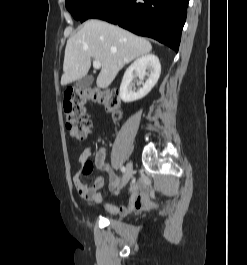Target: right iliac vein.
I'll use <instances>...</instances> for the list:
<instances>
[{"instance_id": "obj_1", "label": "right iliac vein", "mask_w": 247, "mask_h": 265, "mask_svg": "<svg viewBox=\"0 0 247 265\" xmlns=\"http://www.w3.org/2000/svg\"><path fill=\"white\" fill-rule=\"evenodd\" d=\"M132 175H133V166L131 163H128L126 165V171H125V174L123 177L122 187H124L128 183V181L131 179Z\"/></svg>"}]
</instances>
